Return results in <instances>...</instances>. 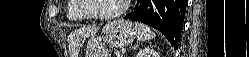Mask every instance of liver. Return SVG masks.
<instances>
[{
  "mask_svg": "<svg viewBox=\"0 0 249 57\" xmlns=\"http://www.w3.org/2000/svg\"><path fill=\"white\" fill-rule=\"evenodd\" d=\"M97 31H98L97 27H88L74 31V33L71 34L72 52H73L72 55H78V47L81 45L79 44V41L81 39H86L88 37H91L95 35Z\"/></svg>",
  "mask_w": 249,
  "mask_h": 57,
  "instance_id": "liver-1",
  "label": "liver"
}]
</instances>
